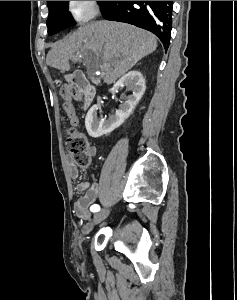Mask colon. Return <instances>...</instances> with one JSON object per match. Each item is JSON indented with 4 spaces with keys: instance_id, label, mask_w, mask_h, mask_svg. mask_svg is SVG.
Masks as SVG:
<instances>
[{
    "instance_id": "1",
    "label": "colon",
    "mask_w": 237,
    "mask_h": 300,
    "mask_svg": "<svg viewBox=\"0 0 237 300\" xmlns=\"http://www.w3.org/2000/svg\"><path fill=\"white\" fill-rule=\"evenodd\" d=\"M61 96L64 99V109L68 115L75 117L74 107L72 100L75 96V90L65 85L61 89ZM65 146L74 162L81 168H87L90 164L91 157L89 155L88 140L82 133H79L73 129L69 131V135L66 139Z\"/></svg>"
}]
</instances>
